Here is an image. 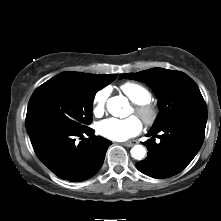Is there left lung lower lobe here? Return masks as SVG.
Instances as JSON below:
<instances>
[{
  "mask_svg": "<svg viewBox=\"0 0 221 221\" xmlns=\"http://www.w3.org/2000/svg\"><path fill=\"white\" fill-rule=\"evenodd\" d=\"M206 122L207 114H190L151 130L147 136L153 137L143 143L148 149L147 157L136 163L137 169L157 179L180 173L201 148ZM156 137L160 143L154 142Z\"/></svg>",
  "mask_w": 221,
  "mask_h": 221,
  "instance_id": "obj_1",
  "label": "left lung lower lobe"
}]
</instances>
